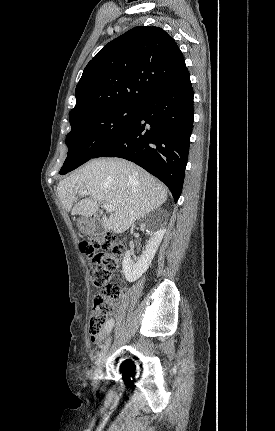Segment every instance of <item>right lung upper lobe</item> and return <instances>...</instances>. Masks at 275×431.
<instances>
[{"label":"right lung upper lobe","mask_w":275,"mask_h":431,"mask_svg":"<svg viewBox=\"0 0 275 431\" xmlns=\"http://www.w3.org/2000/svg\"><path fill=\"white\" fill-rule=\"evenodd\" d=\"M187 71L175 40L159 27H135L100 50L76 90L70 123L97 110L138 106Z\"/></svg>","instance_id":"cb5924a9"}]
</instances>
